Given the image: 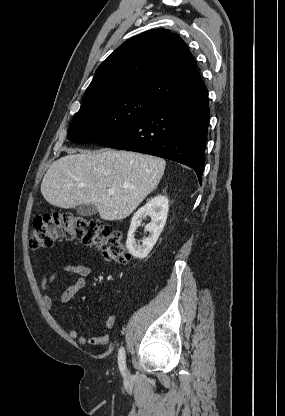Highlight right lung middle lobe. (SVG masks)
Masks as SVG:
<instances>
[{
	"label": "right lung middle lobe",
	"mask_w": 285,
	"mask_h": 416,
	"mask_svg": "<svg viewBox=\"0 0 285 416\" xmlns=\"http://www.w3.org/2000/svg\"><path fill=\"white\" fill-rule=\"evenodd\" d=\"M159 105L137 96L80 109L73 117L67 138L85 144L98 142L137 122Z\"/></svg>",
	"instance_id": "1"
}]
</instances>
